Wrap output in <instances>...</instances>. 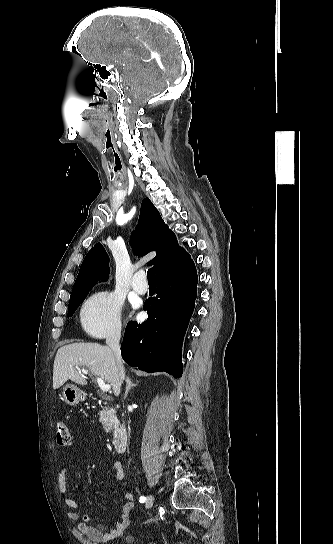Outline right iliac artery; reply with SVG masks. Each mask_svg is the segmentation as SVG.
Instances as JSON below:
<instances>
[{"label":"right iliac artery","instance_id":"right-iliac-artery-1","mask_svg":"<svg viewBox=\"0 0 333 544\" xmlns=\"http://www.w3.org/2000/svg\"><path fill=\"white\" fill-rule=\"evenodd\" d=\"M145 501H146V497L141 496L140 499H139V502H140V503H144Z\"/></svg>","mask_w":333,"mask_h":544}]
</instances>
